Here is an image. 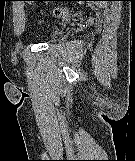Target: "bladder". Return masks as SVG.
<instances>
[{
    "label": "bladder",
    "mask_w": 135,
    "mask_h": 161,
    "mask_svg": "<svg viewBox=\"0 0 135 161\" xmlns=\"http://www.w3.org/2000/svg\"><path fill=\"white\" fill-rule=\"evenodd\" d=\"M58 34V31L57 30H54L53 32H52V35H57Z\"/></svg>",
    "instance_id": "bladder-1"
}]
</instances>
